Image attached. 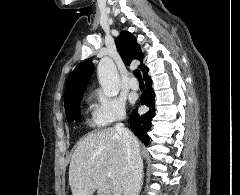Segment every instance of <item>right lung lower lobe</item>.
<instances>
[{
  "label": "right lung lower lobe",
  "mask_w": 240,
  "mask_h": 195,
  "mask_svg": "<svg viewBox=\"0 0 240 195\" xmlns=\"http://www.w3.org/2000/svg\"><path fill=\"white\" fill-rule=\"evenodd\" d=\"M146 81V92L141 96L140 103L149 108L148 112L143 115H139L137 110H134L129 118L130 127L133 133H135L138 138L145 143L148 144L150 138L148 136V131L151 129L152 119L155 115V105H154V97L155 94L152 89V80L150 77L145 80Z\"/></svg>",
  "instance_id": "1"
}]
</instances>
